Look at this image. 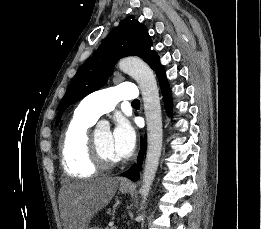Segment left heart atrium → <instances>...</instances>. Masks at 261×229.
<instances>
[{
    "mask_svg": "<svg viewBox=\"0 0 261 229\" xmlns=\"http://www.w3.org/2000/svg\"><path fill=\"white\" fill-rule=\"evenodd\" d=\"M112 150L118 159L128 158L136 144L134 127L126 120L119 121L112 132Z\"/></svg>",
    "mask_w": 261,
    "mask_h": 229,
    "instance_id": "39dd6f15",
    "label": "left heart atrium"
}]
</instances>
